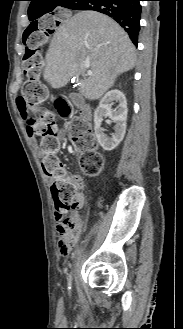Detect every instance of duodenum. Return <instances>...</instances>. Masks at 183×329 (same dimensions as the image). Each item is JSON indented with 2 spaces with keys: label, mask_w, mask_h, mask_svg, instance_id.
I'll list each match as a JSON object with an SVG mask.
<instances>
[{
  "label": "duodenum",
  "mask_w": 183,
  "mask_h": 329,
  "mask_svg": "<svg viewBox=\"0 0 183 329\" xmlns=\"http://www.w3.org/2000/svg\"><path fill=\"white\" fill-rule=\"evenodd\" d=\"M69 102L72 106L79 109L81 118L84 121H89L91 118V110L87 103L79 94L68 95Z\"/></svg>",
  "instance_id": "duodenum-1"
}]
</instances>
